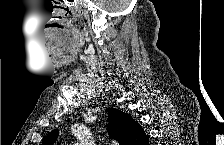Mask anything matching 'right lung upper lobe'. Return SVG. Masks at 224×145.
I'll list each match as a JSON object with an SVG mask.
<instances>
[{
    "instance_id": "cb5924a9",
    "label": "right lung upper lobe",
    "mask_w": 224,
    "mask_h": 145,
    "mask_svg": "<svg viewBox=\"0 0 224 145\" xmlns=\"http://www.w3.org/2000/svg\"><path fill=\"white\" fill-rule=\"evenodd\" d=\"M108 128L107 132L120 145H144L143 142L149 138L138 122L133 120L130 115L118 111L114 108H107ZM58 131L54 130L48 134L43 144L49 145L56 141Z\"/></svg>"
}]
</instances>
